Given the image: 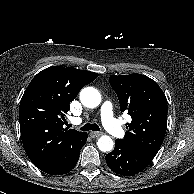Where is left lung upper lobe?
<instances>
[{
    "mask_svg": "<svg viewBox=\"0 0 194 194\" xmlns=\"http://www.w3.org/2000/svg\"><path fill=\"white\" fill-rule=\"evenodd\" d=\"M109 82L116 92L121 112L132 121L127 124L123 142L156 155L167 127V100L162 89L151 78L141 74L111 75Z\"/></svg>",
    "mask_w": 194,
    "mask_h": 194,
    "instance_id": "5c2ea615",
    "label": "left lung upper lobe"
}]
</instances>
